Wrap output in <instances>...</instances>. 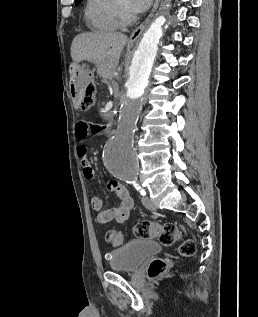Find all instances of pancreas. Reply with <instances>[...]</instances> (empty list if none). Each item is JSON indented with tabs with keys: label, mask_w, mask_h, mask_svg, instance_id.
Masks as SVG:
<instances>
[{
	"label": "pancreas",
	"mask_w": 258,
	"mask_h": 317,
	"mask_svg": "<svg viewBox=\"0 0 258 317\" xmlns=\"http://www.w3.org/2000/svg\"><path fill=\"white\" fill-rule=\"evenodd\" d=\"M109 83L111 84V87H110V92L111 93H116L117 90H118V81L116 80V78H109Z\"/></svg>",
	"instance_id": "pancreas-1"
}]
</instances>
